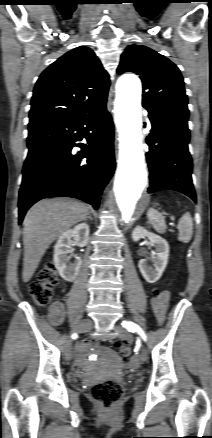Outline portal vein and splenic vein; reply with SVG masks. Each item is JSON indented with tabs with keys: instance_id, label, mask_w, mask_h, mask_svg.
I'll list each match as a JSON object with an SVG mask.
<instances>
[{
	"instance_id": "18ae733b",
	"label": "portal vein and splenic vein",
	"mask_w": 212,
	"mask_h": 438,
	"mask_svg": "<svg viewBox=\"0 0 212 438\" xmlns=\"http://www.w3.org/2000/svg\"><path fill=\"white\" fill-rule=\"evenodd\" d=\"M169 225L173 226L174 225V218H171V222L169 223Z\"/></svg>"
}]
</instances>
